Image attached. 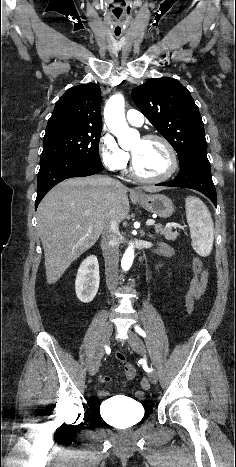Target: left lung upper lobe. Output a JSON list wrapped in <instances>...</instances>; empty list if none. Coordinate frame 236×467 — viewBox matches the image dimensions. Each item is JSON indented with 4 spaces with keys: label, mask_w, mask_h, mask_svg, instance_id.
<instances>
[{
    "label": "left lung upper lobe",
    "mask_w": 236,
    "mask_h": 467,
    "mask_svg": "<svg viewBox=\"0 0 236 467\" xmlns=\"http://www.w3.org/2000/svg\"><path fill=\"white\" fill-rule=\"evenodd\" d=\"M132 98L152 125L178 154L180 166L206 153L204 125L190 92L176 79H149L136 87Z\"/></svg>",
    "instance_id": "left-lung-upper-lobe-1"
}]
</instances>
